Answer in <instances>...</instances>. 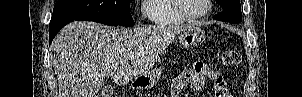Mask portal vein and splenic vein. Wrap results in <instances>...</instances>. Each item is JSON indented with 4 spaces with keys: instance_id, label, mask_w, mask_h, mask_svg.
I'll return each mask as SVG.
<instances>
[{
    "instance_id": "1",
    "label": "portal vein and splenic vein",
    "mask_w": 302,
    "mask_h": 97,
    "mask_svg": "<svg viewBox=\"0 0 302 97\" xmlns=\"http://www.w3.org/2000/svg\"><path fill=\"white\" fill-rule=\"evenodd\" d=\"M129 59H130V60H133V59H135V56L132 55V56L129 57Z\"/></svg>"
}]
</instances>
